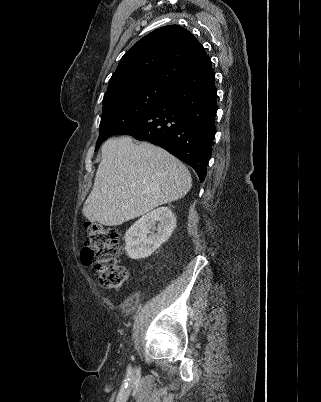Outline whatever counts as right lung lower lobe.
I'll list each match as a JSON object with an SVG mask.
<instances>
[{"label": "right lung lower lobe", "instance_id": "1", "mask_svg": "<svg viewBox=\"0 0 321 402\" xmlns=\"http://www.w3.org/2000/svg\"><path fill=\"white\" fill-rule=\"evenodd\" d=\"M216 92L209 65L169 85L164 101L117 135L163 147L193 167L203 182L216 132Z\"/></svg>", "mask_w": 321, "mask_h": 402}]
</instances>
